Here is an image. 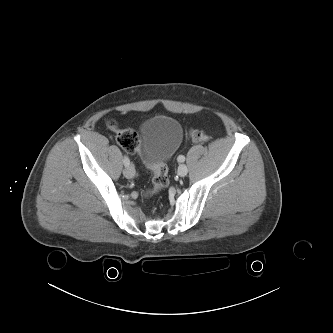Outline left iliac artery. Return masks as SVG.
Masks as SVG:
<instances>
[{"mask_svg": "<svg viewBox=\"0 0 333 333\" xmlns=\"http://www.w3.org/2000/svg\"><path fill=\"white\" fill-rule=\"evenodd\" d=\"M178 162H184L185 161V156L184 155H179L177 157Z\"/></svg>", "mask_w": 333, "mask_h": 333, "instance_id": "44dca946", "label": "left iliac artery"}]
</instances>
